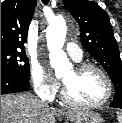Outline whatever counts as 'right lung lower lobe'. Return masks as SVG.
Here are the masks:
<instances>
[{
    "label": "right lung lower lobe",
    "instance_id": "98d812e1",
    "mask_svg": "<svg viewBox=\"0 0 122 123\" xmlns=\"http://www.w3.org/2000/svg\"><path fill=\"white\" fill-rule=\"evenodd\" d=\"M29 89V79L11 71L1 69V94L28 91Z\"/></svg>",
    "mask_w": 122,
    "mask_h": 123
}]
</instances>
